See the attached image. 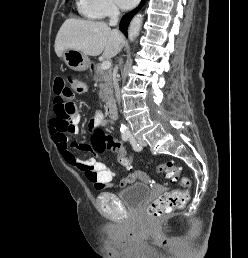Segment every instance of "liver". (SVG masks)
<instances>
[{"label": "liver", "mask_w": 248, "mask_h": 258, "mask_svg": "<svg viewBox=\"0 0 248 258\" xmlns=\"http://www.w3.org/2000/svg\"><path fill=\"white\" fill-rule=\"evenodd\" d=\"M124 37L117 30L99 21L67 19L59 29L55 39V52L61 57L65 50L73 49L87 56L103 53L110 59L120 52Z\"/></svg>", "instance_id": "obj_1"}]
</instances>
